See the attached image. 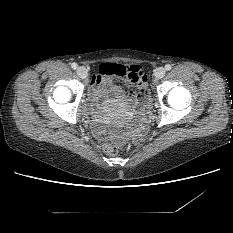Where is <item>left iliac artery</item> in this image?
Returning <instances> with one entry per match:
<instances>
[{
  "instance_id": "44dca946",
  "label": "left iliac artery",
  "mask_w": 233,
  "mask_h": 233,
  "mask_svg": "<svg viewBox=\"0 0 233 233\" xmlns=\"http://www.w3.org/2000/svg\"><path fill=\"white\" fill-rule=\"evenodd\" d=\"M171 68H172V67H171L170 64H166V65H165V69H166V70H171Z\"/></svg>"
}]
</instances>
